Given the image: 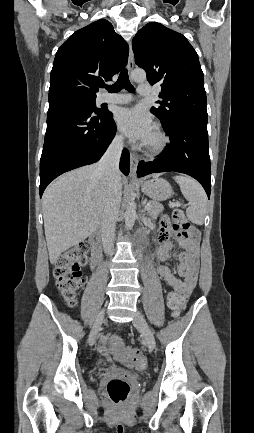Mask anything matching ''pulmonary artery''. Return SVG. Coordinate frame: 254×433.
Returning <instances> with one entry per match:
<instances>
[{
    "mask_svg": "<svg viewBox=\"0 0 254 433\" xmlns=\"http://www.w3.org/2000/svg\"><path fill=\"white\" fill-rule=\"evenodd\" d=\"M138 93L140 95H151L153 90L148 84H140L138 86ZM132 100L131 94H104L102 97L103 102L113 103V104H126Z\"/></svg>",
    "mask_w": 254,
    "mask_h": 433,
    "instance_id": "pulmonary-artery-1",
    "label": "pulmonary artery"
}]
</instances>
